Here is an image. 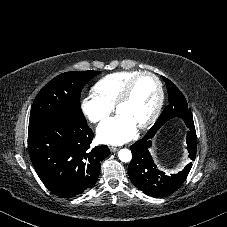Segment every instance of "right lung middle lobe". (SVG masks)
<instances>
[{
  "label": "right lung middle lobe",
  "instance_id": "obj_1",
  "mask_svg": "<svg viewBox=\"0 0 227 227\" xmlns=\"http://www.w3.org/2000/svg\"><path fill=\"white\" fill-rule=\"evenodd\" d=\"M100 71L66 72L48 82L36 96L31 108L29 130L53 119L87 124L80 107L84 85Z\"/></svg>",
  "mask_w": 227,
  "mask_h": 227
}]
</instances>
